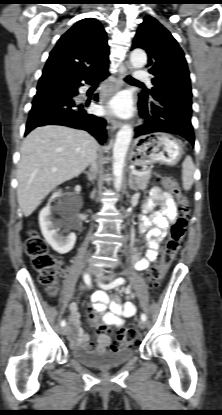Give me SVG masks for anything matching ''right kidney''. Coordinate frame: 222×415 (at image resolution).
Returning <instances> with one entry per match:
<instances>
[{
	"label": "right kidney",
	"instance_id": "obj_1",
	"mask_svg": "<svg viewBox=\"0 0 222 415\" xmlns=\"http://www.w3.org/2000/svg\"><path fill=\"white\" fill-rule=\"evenodd\" d=\"M60 196L61 191L55 192L52 195L51 200ZM61 210L62 205L51 206L50 204H47V206L39 213V224L46 242L59 254H65L73 249L76 242V235L72 232L67 236H63L59 234V230L55 228L54 223L52 222V213L60 212Z\"/></svg>",
	"mask_w": 222,
	"mask_h": 415
}]
</instances>
